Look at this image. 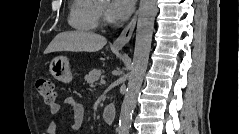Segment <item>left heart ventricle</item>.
<instances>
[{"mask_svg": "<svg viewBox=\"0 0 239 134\" xmlns=\"http://www.w3.org/2000/svg\"><path fill=\"white\" fill-rule=\"evenodd\" d=\"M99 5L105 10L107 7V2L106 1H100Z\"/></svg>", "mask_w": 239, "mask_h": 134, "instance_id": "left-heart-ventricle-1", "label": "left heart ventricle"}]
</instances>
